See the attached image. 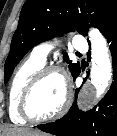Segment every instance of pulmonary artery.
<instances>
[{"label": "pulmonary artery", "mask_w": 117, "mask_h": 136, "mask_svg": "<svg viewBox=\"0 0 117 136\" xmlns=\"http://www.w3.org/2000/svg\"><path fill=\"white\" fill-rule=\"evenodd\" d=\"M55 46V41H45L37 46H35L32 50V56L38 59L41 62H45L49 53ZM73 46L75 49L85 52L88 49V45L86 40L82 36H75L73 38Z\"/></svg>", "instance_id": "pulmonary-artery-1"}]
</instances>
